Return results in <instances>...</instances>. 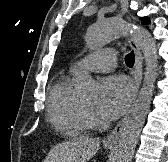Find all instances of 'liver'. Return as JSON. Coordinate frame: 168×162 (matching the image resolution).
Returning <instances> with one entry per match:
<instances>
[{"mask_svg":"<svg viewBox=\"0 0 168 162\" xmlns=\"http://www.w3.org/2000/svg\"><path fill=\"white\" fill-rule=\"evenodd\" d=\"M99 147L98 138L79 137L53 147L43 162H87Z\"/></svg>","mask_w":168,"mask_h":162,"instance_id":"6515ba94","label":"liver"}]
</instances>
